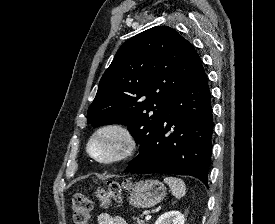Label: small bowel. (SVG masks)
<instances>
[{"instance_id": "1", "label": "small bowel", "mask_w": 275, "mask_h": 224, "mask_svg": "<svg viewBox=\"0 0 275 224\" xmlns=\"http://www.w3.org/2000/svg\"><path fill=\"white\" fill-rule=\"evenodd\" d=\"M98 224H127L126 220L120 216H112L108 213H101L97 218Z\"/></svg>"}]
</instances>
